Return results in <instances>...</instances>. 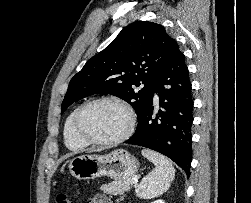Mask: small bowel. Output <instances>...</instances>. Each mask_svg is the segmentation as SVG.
Masks as SVG:
<instances>
[{"mask_svg": "<svg viewBox=\"0 0 251 203\" xmlns=\"http://www.w3.org/2000/svg\"><path fill=\"white\" fill-rule=\"evenodd\" d=\"M87 203H113L110 198L104 195H95L88 199Z\"/></svg>", "mask_w": 251, "mask_h": 203, "instance_id": "small-bowel-1", "label": "small bowel"}]
</instances>
